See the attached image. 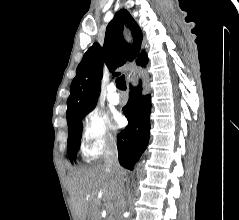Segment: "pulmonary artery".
I'll list each match as a JSON object with an SVG mask.
<instances>
[{
    "mask_svg": "<svg viewBox=\"0 0 239 220\" xmlns=\"http://www.w3.org/2000/svg\"><path fill=\"white\" fill-rule=\"evenodd\" d=\"M107 99L112 104H118L120 102V95L117 93V88L114 83L108 86Z\"/></svg>",
    "mask_w": 239,
    "mask_h": 220,
    "instance_id": "1",
    "label": "pulmonary artery"
}]
</instances>
